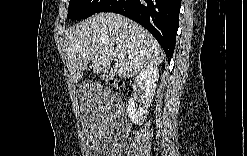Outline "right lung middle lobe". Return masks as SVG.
Returning a JSON list of instances; mask_svg holds the SVG:
<instances>
[{
  "label": "right lung middle lobe",
  "instance_id": "1",
  "mask_svg": "<svg viewBox=\"0 0 247 156\" xmlns=\"http://www.w3.org/2000/svg\"><path fill=\"white\" fill-rule=\"evenodd\" d=\"M107 0H70L68 19L79 20L95 14Z\"/></svg>",
  "mask_w": 247,
  "mask_h": 156
}]
</instances>
